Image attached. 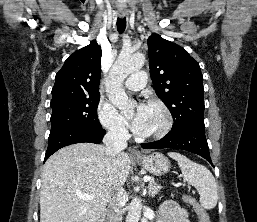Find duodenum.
Listing matches in <instances>:
<instances>
[{"mask_svg": "<svg viewBox=\"0 0 257 222\" xmlns=\"http://www.w3.org/2000/svg\"><path fill=\"white\" fill-rule=\"evenodd\" d=\"M96 222H107V215L102 214Z\"/></svg>", "mask_w": 257, "mask_h": 222, "instance_id": "obj_1", "label": "duodenum"}]
</instances>
